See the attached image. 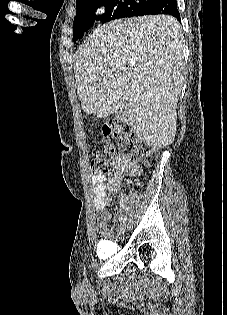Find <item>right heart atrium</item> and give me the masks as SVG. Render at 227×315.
Returning a JSON list of instances; mask_svg holds the SVG:
<instances>
[{"instance_id":"d8ad5b80","label":"right heart atrium","mask_w":227,"mask_h":315,"mask_svg":"<svg viewBox=\"0 0 227 315\" xmlns=\"http://www.w3.org/2000/svg\"><path fill=\"white\" fill-rule=\"evenodd\" d=\"M107 10V6L105 4H98L96 7H95V11L98 13V14H103L105 13Z\"/></svg>"}]
</instances>
